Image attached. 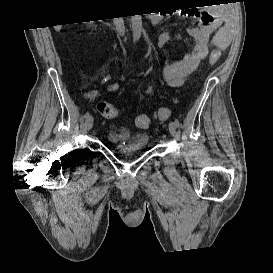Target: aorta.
<instances>
[{
  "label": "aorta",
  "instance_id": "762f6f07",
  "mask_svg": "<svg viewBox=\"0 0 273 273\" xmlns=\"http://www.w3.org/2000/svg\"><path fill=\"white\" fill-rule=\"evenodd\" d=\"M131 26L133 32V38L138 40L142 34V16L141 15H134L131 16Z\"/></svg>",
  "mask_w": 273,
  "mask_h": 273
}]
</instances>
